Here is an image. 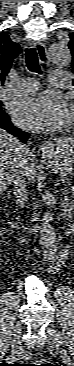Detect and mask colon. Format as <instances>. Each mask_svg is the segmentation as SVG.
<instances>
[{
  "mask_svg": "<svg viewBox=\"0 0 74 366\" xmlns=\"http://www.w3.org/2000/svg\"><path fill=\"white\" fill-rule=\"evenodd\" d=\"M25 366H52V364H50L46 361L40 360V361H35L31 364H25Z\"/></svg>",
  "mask_w": 74,
  "mask_h": 366,
  "instance_id": "obj_1",
  "label": "colon"
}]
</instances>
